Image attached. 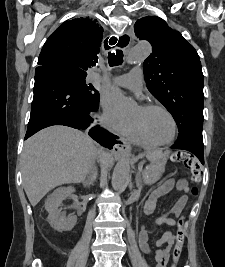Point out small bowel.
Returning a JSON list of instances; mask_svg holds the SVG:
<instances>
[{"instance_id":"c3829d8e","label":"small bowel","mask_w":225,"mask_h":267,"mask_svg":"<svg viewBox=\"0 0 225 267\" xmlns=\"http://www.w3.org/2000/svg\"><path fill=\"white\" fill-rule=\"evenodd\" d=\"M173 188H175L178 192L183 193V195L179 198V200L176 202L175 206L169 213L156 219L157 224H167L171 226L175 224V220L173 217H171V215L177 217L182 212L186 204V193L188 192L187 181L181 178L177 180L171 179L163 183L154 191V193L147 199L144 204L143 212L146 215L153 213L156 208L157 198L169 192ZM150 232L151 230L149 228H141V231L139 233V246L141 250L145 253H152L157 262H159L161 259H166L176 242V235L171 231H165L162 237L156 241L157 249L155 251H152L148 244Z\"/></svg>"}]
</instances>
